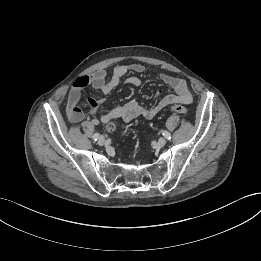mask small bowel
I'll list each match as a JSON object with an SVG mask.
<instances>
[{
    "label": "small bowel",
    "mask_w": 261,
    "mask_h": 261,
    "mask_svg": "<svg viewBox=\"0 0 261 261\" xmlns=\"http://www.w3.org/2000/svg\"><path fill=\"white\" fill-rule=\"evenodd\" d=\"M133 72L143 74L147 69L138 63L116 66L110 78L104 69H99L90 75H84L76 78L69 93L67 115L68 119L73 122H79L84 118L83 112L78 104L84 100L88 103L93 114L92 123L94 125L105 124L111 119L121 118L125 122H130L138 117L150 120L159 112L169 105L181 103L190 104L193 100L192 94L184 79L171 76L168 74H159V78L168 85L174 93L165 94L163 91L158 92V100L152 107H145L132 100L121 106L115 107L106 114L99 115L103 99H91L83 97V90L91 86L99 90L103 95H108L121 83L140 86L141 79L137 76H128L127 73Z\"/></svg>",
    "instance_id": "c3829d8e"
}]
</instances>
